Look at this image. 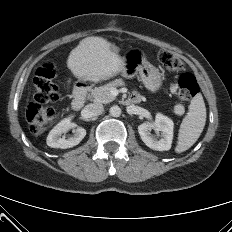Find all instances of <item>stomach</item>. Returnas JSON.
<instances>
[{
  "label": "stomach",
  "mask_w": 232,
  "mask_h": 232,
  "mask_svg": "<svg viewBox=\"0 0 232 232\" xmlns=\"http://www.w3.org/2000/svg\"><path fill=\"white\" fill-rule=\"evenodd\" d=\"M122 76L131 78L139 74L140 79L145 87L152 92L157 91L162 83L159 70L151 65L140 49H133L123 57Z\"/></svg>",
  "instance_id": "stomach-1"
}]
</instances>
